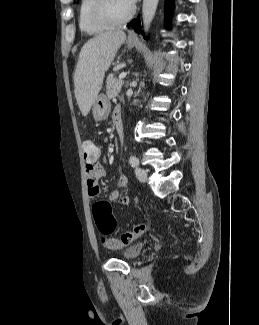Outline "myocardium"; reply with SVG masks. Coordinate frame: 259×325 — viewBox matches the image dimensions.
<instances>
[{
	"label": "myocardium",
	"mask_w": 259,
	"mask_h": 325,
	"mask_svg": "<svg viewBox=\"0 0 259 325\" xmlns=\"http://www.w3.org/2000/svg\"><path fill=\"white\" fill-rule=\"evenodd\" d=\"M135 13V7L131 5L129 11L122 17H116L109 8V0H94L91 9L93 20L108 27L118 26L129 21Z\"/></svg>",
	"instance_id": "f54148a6"
}]
</instances>
